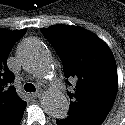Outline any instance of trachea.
<instances>
[{
    "mask_svg": "<svg viewBox=\"0 0 125 125\" xmlns=\"http://www.w3.org/2000/svg\"><path fill=\"white\" fill-rule=\"evenodd\" d=\"M24 90L26 92H35L36 88H35V86L32 83H26L24 85Z\"/></svg>",
    "mask_w": 125,
    "mask_h": 125,
    "instance_id": "1",
    "label": "trachea"
}]
</instances>
